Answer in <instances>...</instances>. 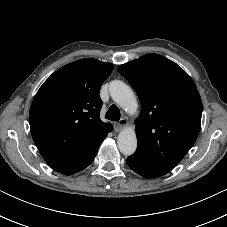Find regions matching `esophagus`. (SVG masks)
Returning a JSON list of instances; mask_svg holds the SVG:
<instances>
[{
    "mask_svg": "<svg viewBox=\"0 0 227 227\" xmlns=\"http://www.w3.org/2000/svg\"><path fill=\"white\" fill-rule=\"evenodd\" d=\"M126 125H128V120L126 118H122L114 124V128L118 132L122 130Z\"/></svg>",
    "mask_w": 227,
    "mask_h": 227,
    "instance_id": "1",
    "label": "esophagus"
}]
</instances>
